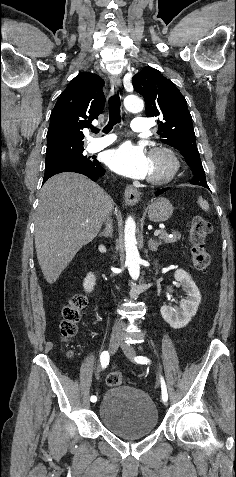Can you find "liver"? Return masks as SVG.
Wrapping results in <instances>:
<instances>
[{"instance_id":"obj_1","label":"liver","mask_w":236,"mask_h":477,"mask_svg":"<svg viewBox=\"0 0 236 477\" xmlns=\"http://www.w3.org/2000/svg\"><path fill=\"white\" fill-rule=\"evenodd\" d=\"M114 209L112 198L77 173H60L43 185L35 221V248L49 284L98 235Z\"/></svg>"}]
</instances>
